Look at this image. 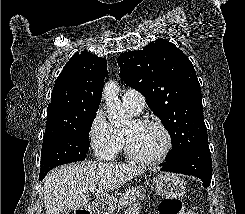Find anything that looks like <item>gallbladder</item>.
Segmentation results:
<instances>
[{
	"mask_svg": "<svg viewBox=\"0 0 245 214\" xmlns=\"http://www.w3.org/2000/svg\"><path fill=\"white\" fill-rule=\"evenodd\" d=\"M57 214H69V212L67 210H65V211H60Z\"/></svg>",
	"mask_w": 245,
	"mask_h": 214,
	"instance_id": "1",
	"label": "gallbladder"
}]
</instances>
